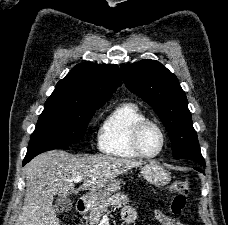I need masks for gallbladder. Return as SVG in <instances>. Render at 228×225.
<instances>
[{
    "mask_svg": "<svg viewBox=\"0 0 228 225\" xmlns=\"http://www.w3.org/2000/svg\"><path fill=\"white\" fill-rule=\"evenodd\" d=\"M55 209L57 213H68V211L73 209V203L66 197H58L55 201Z\"/></svg>",
    "mask_w": 228,
    "mask_h": 225,
    "instance_id": "gallbladder-1",
    "label": "gallbladder"
}]
</instances>
